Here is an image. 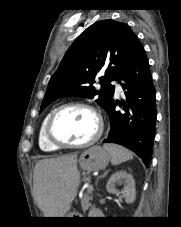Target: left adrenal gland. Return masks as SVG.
Returning a JSON list of instances; mask_svg holds the SVG:
<instances>
[{"mask_svg":"<svg viewBox=\"0 0 181 227\" xmlns=\"http://www.w3.org/2000/svg\"><path fill=\"white\" fill-rule=\"evenodd\" d=\"M107 173H108V171H106V172L104 173V175L102 176V178H104V177L107 175Z\"/></svg>","mask_w":181,"mask_h":227,"instance_id":"left-adrenal-gland-1","label":"left adrenal gland"}]
</instances>
